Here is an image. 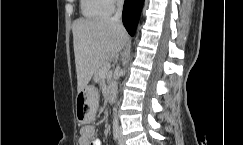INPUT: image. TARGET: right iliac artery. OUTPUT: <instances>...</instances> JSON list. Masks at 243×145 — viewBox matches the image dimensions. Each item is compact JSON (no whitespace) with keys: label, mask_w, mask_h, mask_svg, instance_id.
Wrapping results in <instances>:
<instances>
[{"label":"right iliac artery","mask_w":243,"mask_h":145,"mask_svg":"<svg viewBox=\"0 0 243 145\" xmlns=\"http://www.w3.org/2000/svg\"><path fill=\"white\" fill-rule=\"evenodd\" d=\"M113 136L115 140L119 139V126L117 123L113 124Z\"/></svg>","instance_id":"right-iliac-artery-1"}]
</instances>
